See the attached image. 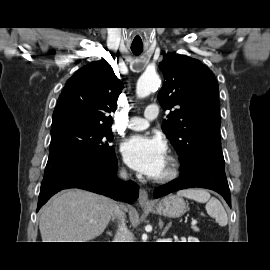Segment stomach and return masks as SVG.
<instances>
[{"label":"stomach","mask_w":270,"mask_h":270,"mask_svg":"<svg viewBox=\"0 0 270 270\" xmlns=\"http://www.w3.org/2000/svg\"><path fill=\"white\" fill-rule=\"evenodd\" d=\"M149 210L167 217H180L186 213L187 207L185 201L180 196L168 195L150 207Z\"/></svg>","instance_id":"stomach-1"}]
</instances>
